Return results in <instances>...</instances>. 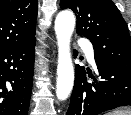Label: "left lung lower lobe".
I'll return each instance as SVG.
<instances>
[{
  "label": "left lung lower lobe",
  "instance_id": "obj_1",
  "mask_svg": "<svg viewBox=\"0 0 131 115\" xmlns=\"http://www.w3.org/2000/svg\"><path fill=\"white\" fill-rule=\"evenodd\" d=\"M74 55L78 52L74 50ZM97 77L87 82L86 71L77 65L75 84L66 115H98L119 106H131V72L95 56Z\"/></svg>",
  "mask_w": 131,
  "mask_h": 115
}]
</instances>
